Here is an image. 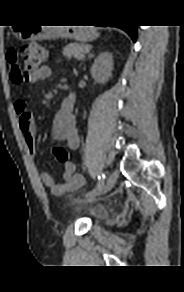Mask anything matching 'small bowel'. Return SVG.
Listing matches in <instances>:
<instances>
[{
	"instance_id": "small-bowel-1",
	"label": "small bowel",
	"mask_w": 184,
	"mask_h": 292,
	"mask_svg": "<svg viewBox=\"0 0 184 292\" xmlns=\"http://www.w3.org/2000/svg\"><path fill=\"white\" fill-rule=\"evenodd\" d=\"M51 75V69L48 66H42L37 69L27 80L30 83H36L44 80ZM70 104L67 106L65 100L62 107L55 114L51 135L54 140L65 141L69 149H76L79 146L80 136L77 128L76 119L71 109L74 102L72 95ZM14 110L19 118L20 130L24 136L25 143L31 154L36 153V124L33 113L28 108L27 103L23 99H17L14 102ZM41 180L55 195H62L66 192H72L81 188L85 184L84 177L76 171V167L72 162L65 164L64 182L57 183L49 173H42Z\"/></svg>"
}]
</instances>
